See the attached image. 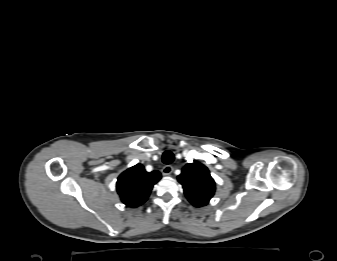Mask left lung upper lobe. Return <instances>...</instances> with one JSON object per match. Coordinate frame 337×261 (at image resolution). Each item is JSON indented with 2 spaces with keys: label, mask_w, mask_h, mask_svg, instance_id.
Masks as SVG:
<instances>
[{
  "label": "left lung upper lobe",
  "mask_w": 337,
  "mask_h": 261,
  "mask_svg": "<svg viewBox=\"0 0 337 261\" xmlns=\"http://www.w3.org/2000/svg\"><path fill=\"white\" fill-rule=\"evenodd\" d=\"M177 179L188 201L195 207L207 205L214 195L215 181L208 168L199 162L187 164Z\"/></svg>",
  "instance_id": "1"
}]
</instances>
